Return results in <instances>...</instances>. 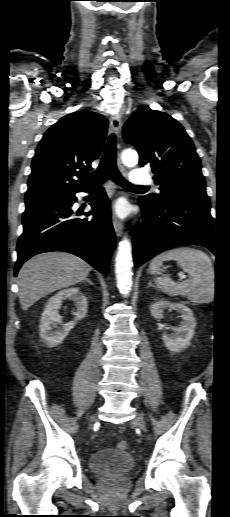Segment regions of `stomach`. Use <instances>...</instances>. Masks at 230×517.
<instances>
[{"instance_id":"obj_1","label":"stomach","mask_w":230,"mask_h":517,"mask_svg":"<svg viewBox=\"0 0 230 517\" xmlns=\"http://www.w3.org/2000/svg\"><path fill=\"white\" fill-rule=\"evenodd\" d=\"M153 273H160V269H158L156 272H153Z\"/></svg>"}]
</instances>
